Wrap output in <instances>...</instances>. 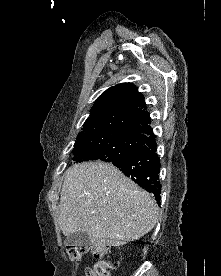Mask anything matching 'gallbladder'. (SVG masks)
I'll return each instance as SVG.
<instances>
[{"label":"gallbladder","mask_w":221,"mask_h":276,"mask_svg":"<svg viewBox=\"0 0 221 276\" xmlns=\"http://www.w3.org/2000/svg\"><path fill=\"white\" fill-rule=\"evenodd\" d=\"M66 246H76V247H89L91 242L89 240L88 234L84 231H78L70 234L65 239Z\"/></svg>","instance_id":"1"}]
</instances>
